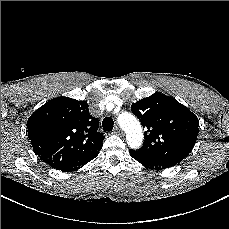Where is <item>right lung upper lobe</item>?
<instances>
[{
	"mask_svg": "<svg viewBox=\"0 0 229 229\" xmlns=\"http://www.w3.org/2000/svg\"><path fill=\"white\" fill-rule=\"evenodd\" d=\"M86 101L58 97L46 102L28 119V136L39 158L67 170L99 153L104 136Z\"/></svg>",
	"mask_w": 229,
	"mask_h": 229,
	"instance_id": "right-lung-upper-lobe-1",
	"label": "right lung upper lobe"
}]
</instances>
